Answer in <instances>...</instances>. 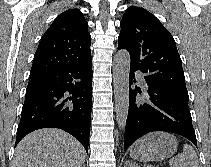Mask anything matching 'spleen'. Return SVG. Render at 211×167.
<instances>
[{
  "instance_id": "spleen-1",
  "label": "spleen",
  "mask_w": 211,
  "mask_h": 167,
  "mask_svg": "<svg viewBox=\"0 0 211 167\" xmlns=\"http://www.w3.org/2000/svg\"><path fill=\"white\" fill-rule=\"evenodd\" d=\"M170 167H200L197 154L192 146L184 144L183 152L169 160Z\"/></svg>"
}]
</instances>
